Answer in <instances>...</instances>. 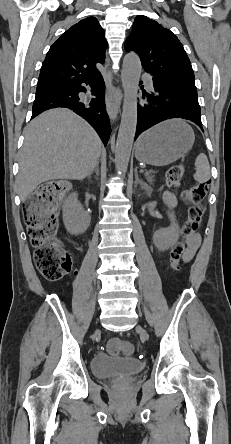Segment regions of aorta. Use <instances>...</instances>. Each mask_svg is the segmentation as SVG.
I'll return each mask as SVG.
<instances>
[{"label":"aorta","mask_w":231,"mask_h":444,"mask_svg":"<svg viewBox=\"0 0 231 444\" xmlns=\"http://www.w3.org/2000/svg\"><path fill=\"white\" fill-rule=\"evenodd\" d=\"M141 69L138 55L129 53L124 56L122 73L124 102L115 151L116 169L122 174L127 171L136 132L137 94Z\"/></svg>","instance_id":"762f6f07"}]
</instances>
